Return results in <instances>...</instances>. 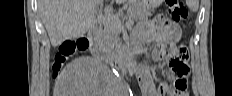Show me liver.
<instances>
[{
  "label": "liver",
  "mask_w": 232,
  "mask_h": 96,
  "mask_svg": "<svg viewBox=\"0 0 232 96\" xmlns=\"http://www.w3.org/2000/svg\"><path fill=\"white\" fill-rule=\"evenodd\" d=\"M95 3L96 0L38 1V10L53 47L82 37L92 28L96 22Z\"/></svg>",
  "instance_id": "obj_1"
}]
</instances>
